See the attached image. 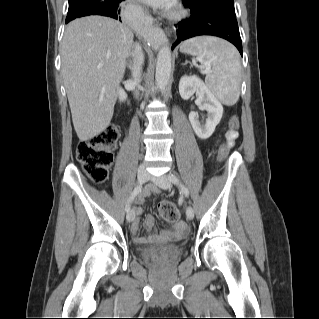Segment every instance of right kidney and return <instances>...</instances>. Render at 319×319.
I'll list each match as a JSON object with an SVG mask.
<instances>
[{
	"mask_svg": "<svg viewBox=\"0 0 319 319\" xmlns=\"http://www.w3.org/2000/svg\"><path fill=\"white\" fill-rule=\"evenodd\" d=\"M117 96H118L120 102H124L127 99V94L121 88L118 89Z\"/></svg>",
	"mask_w": 319,
	"mask_h": 319,
	"instance_id": "ca27d5eb",
	"label": "right kidney"
}]
</instances>
